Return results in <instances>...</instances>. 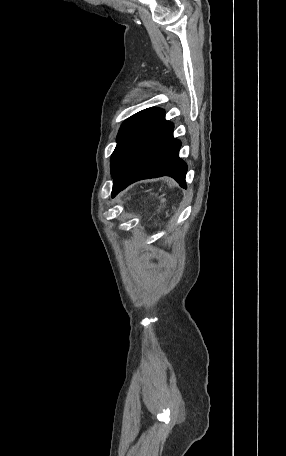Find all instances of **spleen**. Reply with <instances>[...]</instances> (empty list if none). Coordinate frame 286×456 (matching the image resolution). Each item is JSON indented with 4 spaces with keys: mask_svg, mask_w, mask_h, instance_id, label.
I'll list each match as a JSON object with an SVG mask.
<instances>
[{
    "mask_svg": "<svg viewBox=\"0 0 286 456\" xmlns=\"http://www.w3.org/2000/svg\"><path fill=\"white\" fill-rule=\"evenodd\" d=\"M169 183V186L172 187L174 186V183L172 181H167Z\"/></svg>",
    "mask_w": 286,
    "mask_h": 456,
    "instance_id": "obj_1",
    "label": "spleen"
}]
</instances>
